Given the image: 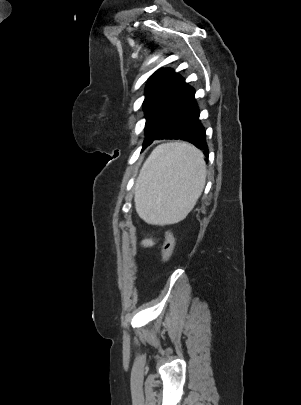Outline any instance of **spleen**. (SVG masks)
<instances>
[{"label": "spleen", "instance_id": "3e777b00", "mask_svg": "<svg viewBox=\"0 0 301 405\" xmlns=\"http://www.w3.org/2000/svg\"><path fill=\"white\" fill-rule=\"evenodd\" d=\"M206 180L201 151L186 142L157 146L145 161L135 187V207L148 224L183 220L199 198Z\"/></svg>", "mask_w": 301, "mask_h": 405}]
</instances>
